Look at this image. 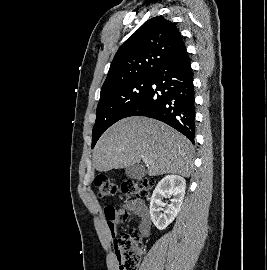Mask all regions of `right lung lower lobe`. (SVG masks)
<instances>
[{
	"label": "right lung lower lobe",
	"mask_w": 267,
	"mask_h": 270,
	"mask_svg": "<svg viewBox=\"0 0 267 270\" xmlns=\"http://www.w3.org/2000/svg\"><path fill=\"white\" fill-rule=\"evenodd\" d=\"M194 100L192 69L183 44L154 72L146 94L125 117L146 116L160 120L194 143Z\"/></svg>",
	"instance_id": "98d812e1"
}]
</instances>
